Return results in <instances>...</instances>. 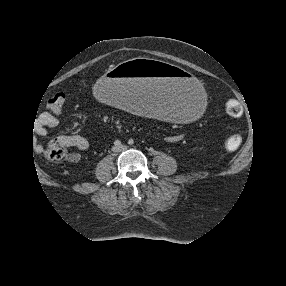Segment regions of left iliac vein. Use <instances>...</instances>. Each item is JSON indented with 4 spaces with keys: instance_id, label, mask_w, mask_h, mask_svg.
<instances>
[{
    "instance_id": "4c4485c4",
    "label": "left iliac vein",
    "mask_w": 286,
    "mask_h": 286,
    "mask_svg": "<svg viewBox=\"0 0 286 286\" xmlns=\"http://www.w3.org/2000/svg\"><path fill=\"white\" fill-rule=\"evenodd\" d=\"M126 149H127V147L123 145L119 148V151H125Z\"/></svg>"
}]
</instances>
